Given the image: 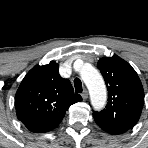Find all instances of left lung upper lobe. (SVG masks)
Instances as JSON below:
<instances>
[{
    "instance_id": "5c2ea615",
    "label": "left lung upper lobe",
    "mask_w": 148,
    "mask_h": 148,
    "mask_svg": "<svg viewBox=\"0 0 148 148\" xmlns=\"http://www.w3.org/2000/svg\"><path fill=\"white\" fill-rule=\"evenodd\" d=\"M108 89V103L102 111H93L95 122L102 128L124 133L138 122L143 104L142 83L132 66L118 57L101 58L97 63Z\"/></svg>"
}]
</instances>
